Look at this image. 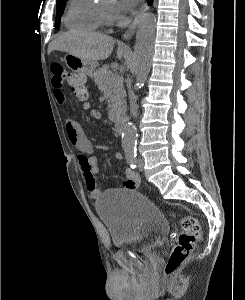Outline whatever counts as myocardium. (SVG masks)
<instances>
[{"mask_svg":"<svg viewBox=\"0 0 245 300\" xmlns=\"http://www.w3.org/2000/svg\"><path fill=\"white\" fill-rule=\"evenodd\" d=\"M104 17L107 22H112L114 20V16L108 9L104 10Z\"/></svg>","mask_w":245,"mask_h":300,"instance_id":"myocardium-1","label":"myocardium"}]
</instances>
